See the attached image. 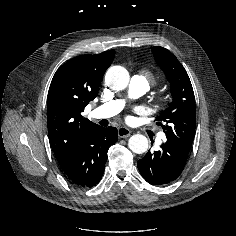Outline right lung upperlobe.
<instances>
[{
    "label": "right lung upper lobe",
    "mask_w": 236,
    "mask_h": 236,
    "mask_svg": "<svg viewBox=\"0 0 236 236\" xmlns=\"http://www.w3.org/2000/svg\"><path fill=\"white\" fill-rule=\"evenodd\" d=\"M114 55L115 51L110 50L75 57L63 64L52 79L47 101L48 135L62 169L72 162L86 133L97 126L82 112L97 96Z\"/></svg>",
    "instance_id": "1"
}]
</instances>
